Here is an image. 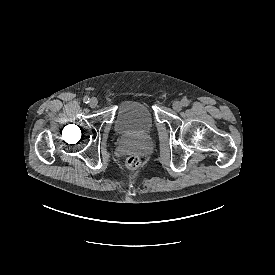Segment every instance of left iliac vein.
Returning <instances> with one entry per match:
<instances>
[{
	"mask_svg": "<svg viewBox=\"0 0 275 275\" xmlns=\"http://www.w3.org/2000/svg\"><path fill=\"white\" fill-rule=\"evenodd\" d=\"M172 107L175 111H180L182 109V104L179 101H174Z\"/></svg>",
	"mask_w": 275,
	"mask_h": 275,
	"instance_id": "left-iliac-vein-1",
	"label": "left iliac vein"
}]
</instances>
